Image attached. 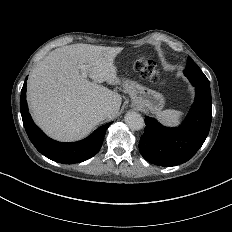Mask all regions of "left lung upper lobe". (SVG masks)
Returning a JSON list of instances; mask_svg holds the SVG:
<instances>
[{
  "mask_svg": "<svg viewBox=\"0 0 232 232\" xmlns=\"http://www.w3.org/2000/svg\"><path fill=\"white\" fill-rule=\"evenodd\" d=\"M183 73L195 88H204L210 90L209 80L191 57H188L187 65Z\"/></svg>",
  "mask_w": 232,
  "mask_h": 232,
  "instance_id": "obj_1",
  "label": "left lung upper lobe"
}]
</instances>
